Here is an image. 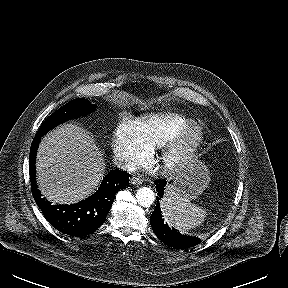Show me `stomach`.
<instances>
[{
	"label": "stomach",
	"instance_id": "0dacf381",
	"mask_svg": "<svg viewBox=\"0 0 288 288\" xmlns=\"http://www.w3.org/2000/svg\"><path fill=\"white\" fill-rule=\"evenodd\" d=\"M209 182L210 173L207 166L202 161L196 160L178 173L168 188L180 197L194 200L203 193Z\"/></svg>",
	"mask_w": 288,
	"mask_h": 288
}]
</instances>
